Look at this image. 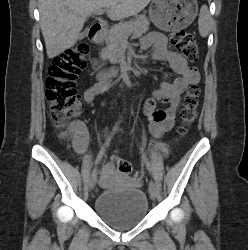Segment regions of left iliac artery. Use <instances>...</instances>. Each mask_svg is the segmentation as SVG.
Returning a JSON list of instances; mask_svg holds the SVG:
<instances>
[{
  "mask_svg": "<svg viewBox=\"0 0 248 250\" xmlns=\"http://www.w3.org/2000/svg\"><path fill=\"white\" fill-rule=\"evenodd\" d=\"M145 161H146V166H147L148 171L151 172V167H150V164H149L148 160L145 159Z\"/></svg>",
  "mask_w": 248,
  "mask_h": 250,
  "instance_id": "obj_1",
  "label": "left iliac artery"
}]
</instances>
